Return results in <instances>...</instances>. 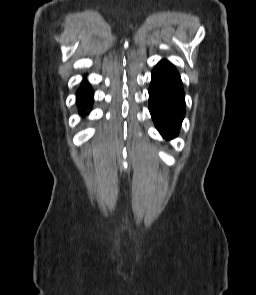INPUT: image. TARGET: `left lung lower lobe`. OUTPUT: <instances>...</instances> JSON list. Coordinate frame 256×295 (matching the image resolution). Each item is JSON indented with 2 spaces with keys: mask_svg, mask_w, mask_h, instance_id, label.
<instances>
[{
  "mask_svg": "<svg viewBox=\"0 0 256 295\" xmlns=\"http://www.w3.org/2000/svg\"><path fill=\"white\" fill-rule=\"evenodd\" d=\"M149 111L164 138L171 139L178 135L185 115L184 91L179 73L166 60L160 61L152 71Z\"/></svg>",
  "mask_w": 256,
  "mask_h": 295,
  "instance_id": "left-lung-lower-lobe-1",
  "label": "left lung lower lobe"
}]
</instances>
